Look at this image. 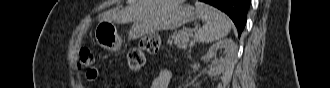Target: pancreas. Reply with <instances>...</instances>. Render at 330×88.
Listing matches in <instances>:
<instances>
[{
	"instance_id": "pancreas-1",
	"label": "pancreas",
	"mask_w": 330,
	"mask_h": 88,
	"mask_svg": "<svg viewBox=\"0 0 330 88\" xmlns=\"http://www.w3.org/2000/svg\"><path fill=\"white\" fill-rule=\"evenodd\" d=\"M189 33L187 30L182 29L174 32L173 35L170 36L168 42L172 44L174 40V45L180 49H187V45L189 43Z\"/></svg>"
}]
</instances>
